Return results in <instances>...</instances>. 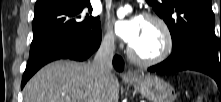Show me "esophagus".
<instances>
[{"mask_svg": "<svg viewBox=\"0 0 221 102\" xmlns=\"http://www.w3.org/2000/svg\"><path fill=\"white\" fill-rule=\"evenodd\" d=\"M135 76H136V74H135L133 71H128V72H127V77L133 78V77H135Z\"/></svg>", "mask_w": 221, "mask_h": 102, "instance_id": "esophagus-1", "label": "esophagus"}]
</instances>
